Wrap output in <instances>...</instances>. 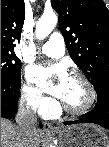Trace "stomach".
Wrapping results in <instances>:
<instances>
[{"instance_id":"stomach-1","label":"stomach","mask_w":109,"mask_h":147,"mask_svg":"<svg viewBox=\"0 0 109 147\" xmlns=\"http://www.w3.org/2000/svg\"><path fill=\"white\" fill-rule=\"evenodd\" d=\"M56 136L61 147H109L107 132L94 124H75L60 127Z\"/></svg>"}]
</instances>
